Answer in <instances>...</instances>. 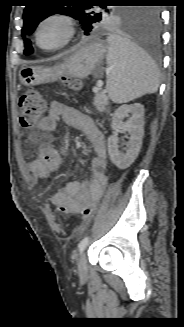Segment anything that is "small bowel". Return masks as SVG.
Segmentation results:
<instances>
[{"instance_id": "small-bowel-1", "label": "small bowel", "mask_w": 184, "mask_h": 327, "mask_svg": "<svg viewBox=\"0 0 184 327\" xmlns=\"http://www.w3.org/2000/svg\"><path fill=\"white\" fill-rule=\"evenodd\" d=\"M81 131L91 144L94 156L91 162V177L84 181H66L50 195L54 206H66L65 214H81L80 208L89 203L94 205L100 199L107 184V149L103 133L94 121L75 108L58 100H53L49 112L37 126L40 133H49L57 129L60 121ZM70 170H80L81 160L70 159ZM61 165V155L57 149L40 144L38 156L30 163V172L37 182L46 183Z\"/></svg>"}]
</instances>
